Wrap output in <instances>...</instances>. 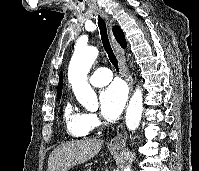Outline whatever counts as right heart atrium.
Here are the masks:
<instances>
[{"label":"right heart atrium","instance_id":"1","mask_svg":"<svg viewBox=\"0 0 199 171\" xmlns=\"http://www.w3.org/2000/svg\"><path fill=\"white\" fill-rule=\"evenodd\" d=\"M85 124L89 131L96 129L99 124L100 120L95 113H86L85 114Z\"/></svg>","mask_w":199,"mask_h":171}]
</instances>
